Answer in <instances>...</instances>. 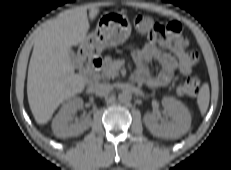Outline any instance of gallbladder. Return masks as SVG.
Segmentation results:
<instances>
[{
	"instance_id": "obj_1",
	"label": "gallbladder",
	"mask_w": 231,
	"mask_h": 170,
	"mask_svg": "<svg viewBox=\"0 0 231 170\" xmlns=\"http://www.w3.org/2000/svg\"><path fill=\"white\" fill-rule=\"evenodd\" d=\"M69 54L73 62L75 60V57H74V52L71 49L69 50Z\"/></svg>"
}]
</instances>
